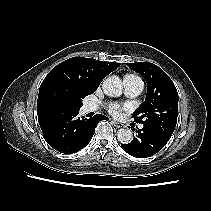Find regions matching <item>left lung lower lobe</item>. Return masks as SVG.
<instances>
[{
	"instance_id": "1",
	"label": "left lung lower lobe",
	"mask_w": 211,
	"mask_h": 211,
	"mask_svg": "<svg viewBox=\"0 0 211 211\" xmlns=\"http://www.w3.org/2000/svg\"><path fill=\"white\" fill-rule=\"evenodd\" d=\"M137 135L128 144H121L122 149L137 158L150 157L159 152L170 138L147 127L137 128Z\"/></svg>"
}]
</instances>
